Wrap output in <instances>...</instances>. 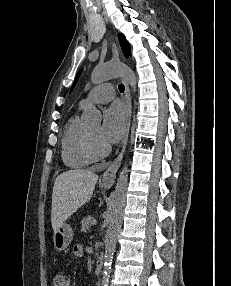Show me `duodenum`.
Masks as SVG:
<instances>
[{
  "label": "duodenum",
  "instance_id": "obj_1",
  "mask_svg": "<svg viewBox=\"0 0 231 286\" xmlns=\"http://www.w3.org/2000/svg\"><path fill=\"white\" fill-rule=\"evenodd\" d=\"M103 269V257L99 256L95 265V274L100 275Z\"/></svg>",
  "mask_w": 231,
  "mask_h": 286
}]
</instances>
